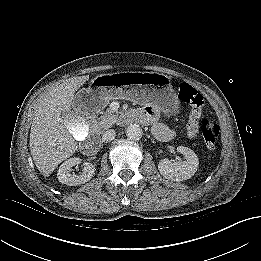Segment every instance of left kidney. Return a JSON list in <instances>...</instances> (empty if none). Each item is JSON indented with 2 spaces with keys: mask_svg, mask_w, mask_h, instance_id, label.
Wrapping results in <instances>:
<instances>
[{
  "mask_svg": "<svg viewBox=\"0 0 261 261\" xmlns=\"http://www.w3.org/2000/svg\"><path fill=\"white\" fill-rule=\"evenodd\" d=\"M177 152L184 155L185 161L171 162L168 159H162L158 163V170L166 179L180 182L191 178L196 173L199 160L194 151L188 147L178 146Z\"/></svg>",
  "mask_w": 261,
  "mask_h": 261,
  "instance_id": "1",
  "label": "left kidney"
}]
</instances>
